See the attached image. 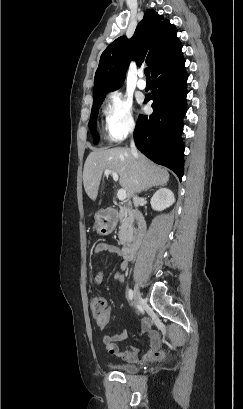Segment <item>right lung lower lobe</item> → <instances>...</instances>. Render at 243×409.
<instances>
[{
    "label": "right lung lower lobe",
    "mask_w": 243,
    "mask_h": 409,
    "mask_svg": "<svg viewBox=\"0 0 243 409\" xmlns=\"http://www.w3.org/2000/svg\"><path fill=\"white\" fill-rule=\"evenodd\" d=\"M153 113L139 116L134 139L136 147L157 164L173 170L181 180L184 172V145L181 140L186 113L187 73L180 46L152 74Z\"/></svg>",
    "instance_id": "right-lung-lower-lobe-1"
}]
</instances>
